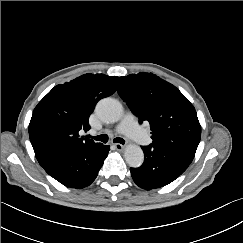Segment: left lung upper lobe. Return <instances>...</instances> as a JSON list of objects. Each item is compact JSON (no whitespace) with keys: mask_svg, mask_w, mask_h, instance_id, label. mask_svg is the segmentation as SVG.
Segmentation results:
<instances>
[{"mask_svg":"<svg viewBox=\"0 0 243 243\" xmlns=\"http://www.w3.org/2000/svg\"><path fill=\"white\" fill-rule=\"evenodd\" d=\"M118 94L141 124L150 123L152 145L197 149L201 137L197 113L175 86L141 72L120 77Z\"/></svg>","mask_w":243,"mask_h":243,"instance_id":"left-lung-upper-lobe-1","label":"left lung upper lobe"}]
</instances>
